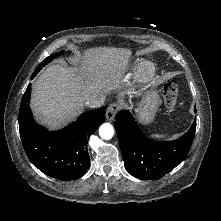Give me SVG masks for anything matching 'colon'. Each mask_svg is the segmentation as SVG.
<instances>
[{"mask_svg":"<svg viewBox=\"0 0 221 221\" xmlns=\"http://www.w3.org/2000/svg\"><path fill=\"white\" fill-rule=\"evenodd\" d=\"M179 88L174 80L167 81L163 86V96L165 106L168 110H174L177 106V96Z\"/></svg>","mask_w":221,"mask_h":221,"instance_id":"1","label":"colon"}]
</instances>
